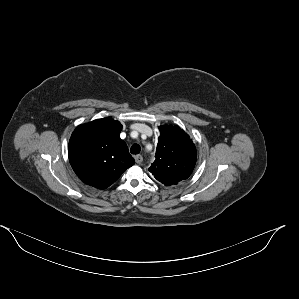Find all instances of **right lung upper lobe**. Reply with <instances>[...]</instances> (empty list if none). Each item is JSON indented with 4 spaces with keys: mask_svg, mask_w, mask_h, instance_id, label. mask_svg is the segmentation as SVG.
Masks as SVG:
<instances>
[{
    "mask_svg": "<svg viewBox=\"0 0 299 299\" xmlns=\"http://www.w3.org/2000/svg\"><path fill=\"white\" fill-rule=\"evenodd\" d=\"M122 125L98 119L79 125L71 135L68 157L76 175L86 184L105 189L134 164L120 138Z\"/></svg>",
    "mask_w": 299,
    "mask_h": 299,
    "instance_id": "cb5924a9",
    "label": "right lung upper lobe"
}]
</instances>
